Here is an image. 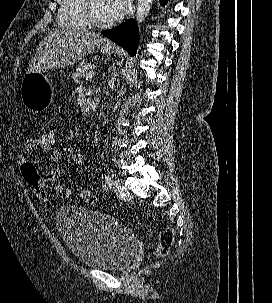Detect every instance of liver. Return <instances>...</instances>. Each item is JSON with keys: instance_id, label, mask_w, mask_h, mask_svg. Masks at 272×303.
Masks as SVG:
<instances>
[{"instance_id": "obj_1", "label": "liver", "mask_w": 272, "mask_h": 303, "mask_svg": "<svg viewBox=\"0 0 272 303\" xmlns=\"http://www.w3.org/2000/svg\"><path fill=\"white\" fill-rule=\"evenodd\" d=\"M102 36L86 29H55L40 41L28 66V73L64 68L85 57L105 42Z\"/></svg>"}]
</instances>
